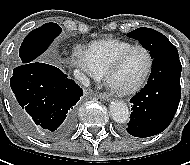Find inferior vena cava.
<instances>
[{
  "mask_svg": "<svg viewBox=\"0 0 190 165\" xmlns=\"http://www.w3.org/2000/svg\"><path fill=\"white\" fill-rule=\"evenodd\" d=\"M74 76L75 78L80 81L84 86L88 87L90 85V81L89 78L86 77V75H84L82 72H80L79 70H74Z\"/></svg>",
  "mask_w": 190,
  "mask_h": 165,
  "instance_id": "inferior-vena-cava-1",
  "label": "inferior vena cava"
}]
</instances>
